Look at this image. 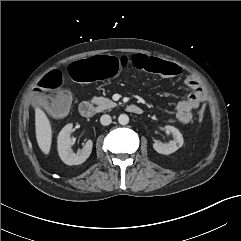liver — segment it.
Here are the masks:
<instances>
[{
    "mask_svg": "<svg viewBox=\"0 0 241 241\" xmlns=\"http://www.w3.org/2000/svg\"><path fill=\"white\" fill-rule=\"evenodd\" d=\"M35 132L39 148L48 155L52 143V128L49 119L40 108L35 109Z\"/></svg>",
    "mask_w": 241,
    "mask_h": 241,
    "instance_id": "obj_1",
    "label": "liver"
}]
</instances>
